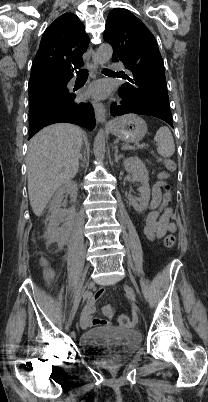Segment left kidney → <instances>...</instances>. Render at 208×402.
<instances>
[{"instance_id":"obj_1","label":"left kidney","mask_w":208,"mask_h":402,"mask_svg":"<svg viewBox=\"0 0 208 402\" xmlns=\"http://www.w3.org/2000/svg\"><path fill=\"white\" fill-rule=\"evenodd\" d=\"M124 168L126 172L132 174L130 178H132V182H141V188H139V192L141 194V198H134L129 194L128 200L130 206L135 208L136 212H143L146 210L149 200H150V186H149V174L140 158L134 156V158H127L123 162Z\"/></svg>"}]
</instances>
